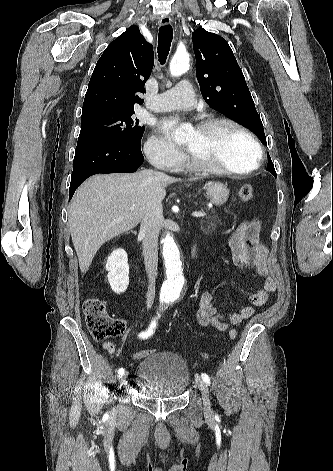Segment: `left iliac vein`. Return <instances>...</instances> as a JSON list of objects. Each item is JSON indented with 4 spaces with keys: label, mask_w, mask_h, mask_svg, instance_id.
I'll use <instances>...</instances> for the list:
<instances>
[{
    "label": "left iliac vein",
    "mask_w": 333,
    "mask_h": 471,
    "mask_svg": "<svg viewBox=\"0 0 333 471\" xmlns=\"http://www.w3.org/2000/svg\"><path fill=\"white\" fill-rule=\"evenodd\" d=\"M195 380H196V384H197V386L200 389V392L202 394L204 412H205L206 415H210L211 414V406H210L208 386L204 382V380L201 379L199 376H196Z\"/></svg>",
    "instance_id": "obj_1"
}]
</instances>
